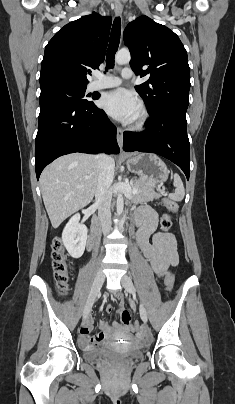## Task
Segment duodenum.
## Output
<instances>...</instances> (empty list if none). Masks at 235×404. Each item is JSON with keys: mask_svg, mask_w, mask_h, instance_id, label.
Segmentation results:
<instances>
[{"mask_svg": "<svg viewBox=\"0 0 235 404\" xmlns=\"http://www.w3.org/2000/svg\"><path fill=\"white\" fill-rule=\"evenodd\" d=\"M94 245H95V238H94V236H91L88 241V248L92 249L94 247Z\"/></svg>", "mask_w": 235, "mask_h": 404, "instance_id": "obj_1", "label": "duodenum"}]
</instances>
